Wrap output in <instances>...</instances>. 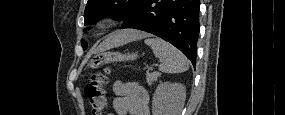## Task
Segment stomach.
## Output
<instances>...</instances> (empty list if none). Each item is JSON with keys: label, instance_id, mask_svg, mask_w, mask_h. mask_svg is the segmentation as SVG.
I'll return each instance as SVG.
<instances>
[{"label": "stomach", "instance_id": "1", "mask_svg": "<svg viewBox=\"0 0 285 115\" xmlns=\"http://www.w3.org/2000/svg\"><path fill=\"white\" fill-rule=\"evenodd\" d=\"M138 57L137 53L122 54L118 52H105L95 55L89 62V66L93 69L100 65L108 64L115 61L135 60Z\"/></svg>", "mask_w": 285, "mask_h": 115}]
</instances>
